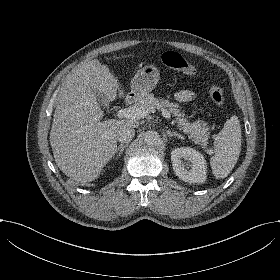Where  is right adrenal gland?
I'll use <instances>...</instances> for the list:
<instances>
[{
	"label": "right adrenal gland",
	"mask_w": 280,
	"mask_h": 280,
	"mask_svg": "<svg viewBox=\"0 0 280 280\" xmlns=\"http://www.w3.org/2000/svg\"><path fill=\"white\" fill-rule=\"evenodd\" d=\"M127 146V143H121L120 145L116 146L115 147V150H114V154H116L118 152L119 149L120 150V155L122 154V151L125 149V147Z\"/></svg>",
	"instance_id": "right-adrenal-gland-1"
}]
</instances>
